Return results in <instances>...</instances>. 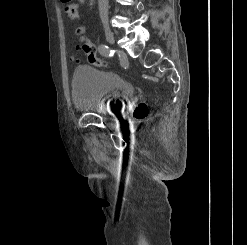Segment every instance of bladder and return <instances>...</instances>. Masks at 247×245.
I'll list each match as a JSON object with an SVG mask.
<instances>
[{
  "instance_id": "1",
  "label": "bladder",
  "mask_w": 247,
  "mask_h": 245,
  "mask_svg": "<svg viewBox=\"0 0 247 245\" xmlns=\"http://www.w3.org/2000/svg\"><path fill=\"white\" fill-rule=\"evenodd\" d=\"M133 90L129 79L92 66L78 67L72 76V102L80 111L117 113Z\"/></svg>"
}]
</instances>
